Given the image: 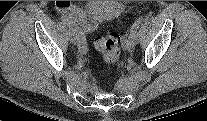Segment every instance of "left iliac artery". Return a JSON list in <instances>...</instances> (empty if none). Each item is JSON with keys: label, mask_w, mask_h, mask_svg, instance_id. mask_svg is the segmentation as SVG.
<instances>
[{"label": "left iliac artery", "mask_w": 207, "mask_h": 121, "mask_svg": "<svg viewBox=\"0 0 207 121\" xmlns=\"http://www.w3.org/2000/svg\"><path fill=\"white\" fill-rule=\"evenodd\" d=\"M142 17L141 18H138L134 23L133 25L131 26V29H130V34H129V37H135L137 35V32H138V29L140 27V24L142 22Z\"/></svg>", "instance_id": "44dca946"}]
</instances>
